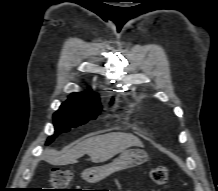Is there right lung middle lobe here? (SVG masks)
Here are the masks:
<instances>
[{
  "label": "right lung middle lobe",
  "mask_w": 218,
  "mask_h": 191,
  "mask_svg": "<svg viewBox=\"0 0 218 191\" xmlns=\"http://www.w3.org/2000/svg\"><path fill=\"white\" fill-rule=\"evenodd\" d=\"M100 109L99 100L69 97L54 113L55 134L48 138L47 144L52 142L57 134L68 132L71 128L95 119Z\"/></svg>",
  "instance_id": "1"
}]
</instances>
